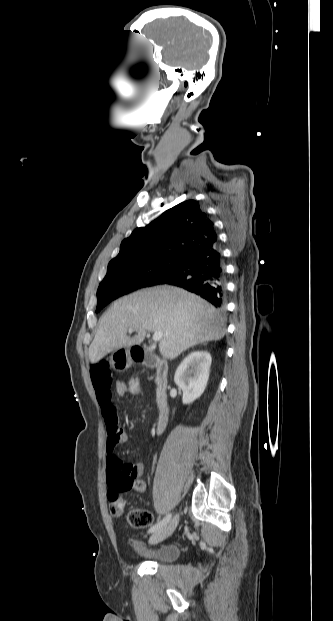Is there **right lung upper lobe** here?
I'll return each instance as SVG.
<instances>
[{"label":"right lung upper lobe","instance_id":"cb5924a9","mask_svg":"<svg viewBox=\"0 0 333 621\" xmlns=\"http://www.w3.org/2000/svg\"><path fill=\"white\" fill-rule=\"evenodd\" d=\"M217 241L213 222L198 201L187 200L124 239L119 254L109 264L179 257L198 252Z\"/></svg>","mask_w":333,"mask_h":621}]
</instances>
